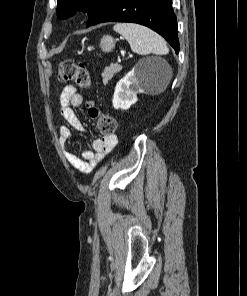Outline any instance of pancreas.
Returning <instances> with one entry per match:
<instances>
[{
  "instance_id": "obj_1",
  "label": "pancreas",
  "mask_w": 247,
  "mask_h": 296,
  "mask_svg": "<svg viewBox=\"0 0 247 296\" xmlns=\"http://www.w3.org/2000/svg\"><path fill=\"white\" fill-rule=\"evenodd\" d=\"M122 70V66L117 64H111L106 67L102 73L103 83L106 84L110 81L115 74Z\"/></svg>"
}]
</instances>
